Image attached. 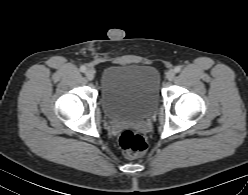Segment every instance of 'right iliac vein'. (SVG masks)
<instances>
[{
  "mask_svg": "<svg viewBox=\"0 0 248 195\" xmlns=\"http://www.w3.org/2000/svg\"><path fill=\"white\" fill-rule=\"evenodd\" d=\"M85 75L88 80H93L95 77V72L92 69H89L85 72Z\"/></svg>",
  "mask_w": 248,
  "mask_h": 195,
  "instance_id": "right-iliac-vein-1",
  "label": "right iliac vein"
}]
</instances>
